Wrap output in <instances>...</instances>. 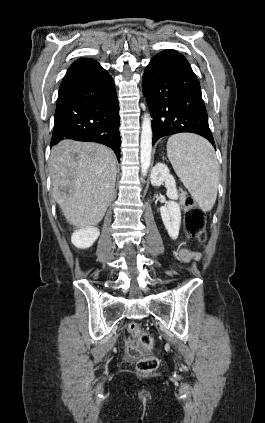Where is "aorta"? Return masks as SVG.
<instances>
[{
    "instance_id": "aorta-1",
    "label": "aorta",
    "mask_w": 265,
    "mask_h": 423,
    "mask_svg": "<svg viewBox=\"0 0 265 423\" xmlns=\"http://www.w3.org/2000/svg\"><path fill=\"white\" fill-rule=\"evenodd\" d=\"M142 131L140 137V163L141 173L146 176L150 163L152 153V128L151 118L149 114H145L142 121Z\"/></svg>"
}]
</instances>
